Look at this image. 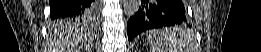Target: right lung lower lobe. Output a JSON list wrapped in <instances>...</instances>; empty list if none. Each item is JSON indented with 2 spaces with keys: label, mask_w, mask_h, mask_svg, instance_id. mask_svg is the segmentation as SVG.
Here are the masks:
<instances>
[{
  "label": "right lung lower lobe",
  "mask_w": 261,
  "mask_h": 52,
  "mask_svg": "<svg viewBox=\"0 0 261 52\" xmlns=\"http://www.w3.org/2000/svg\"><path fill=\"white\" fill-rule=\"evenodd\" d=\"M49 4L51 19L83 15L96 17L99 8V3L95 0H50Z\"/></svg>",
  "instance_id": "obj_1"
}]
</instances>
